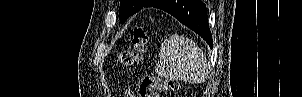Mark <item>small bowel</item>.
I'll use <instances>...</instances> for the list:
<instances>
[{
  "label": "small bowel",
  "mask_w": 302,
  "mask_h": 97,
  "mask_svg": "<svg viewBox=\"0 0 302 97\" xmlns=\"http://www.w3.org/2000/svg\"><path fill=\"white\" fill-rule=\"evenodd\" d=\"M126 96L127 97H135L134 93L132 91H130V90L127 91Z\"/></svg>",
  "instance_id": "c3829d8e"
}]
</instances>
